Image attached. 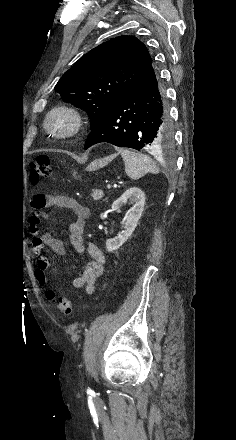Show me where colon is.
I'll list each match as a JSON object with an SVG mask.
<instances>
[{
	"label": "colon",
	"instance_id": "1",
	"mask_svg": "<svg viewBox=\"0 0 236 440\" xmlns=\"http://www.w3.org/2000/svg\"><path fill=\"white\" fill-rule=\"evenodd\" d=\"M51 175L50 159L46 155L37 156L31 165L30 180L35 186L44 184ZM45 295L48 300H55V293L52 289H47ZM57 310L63 315L71 314V302L66 297H61L56 301Z\"/></svg>",
	"mask_w": 236,
	"mask_h": 440
}]
</instances>
